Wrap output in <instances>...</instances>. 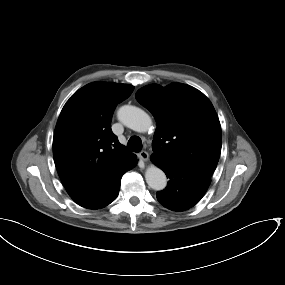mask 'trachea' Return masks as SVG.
Returning <instances> with one entry per match:
<instances>
[{
  "label": "trachea",
  "instance_id": "obj_1",
  "mask_svg": "<svg viewBox=\"0 0 285 285\" xmlns=\"http://www.w3.org/2000/svg\"><path fill=\"white\" fill-rule=\"evenodd\" d=\"M128 150L132 152H140L142 149V141L137 136H132L127 144Z\"/></svg>",
  "mask_w": 285,
  "mask_h": 285
}]
</instances>
